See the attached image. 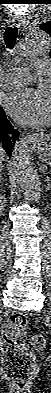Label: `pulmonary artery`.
<instances>
[{"label":"pulmonary artery","instance_id":"pulmonary-artery-1","mask_svg":"<svg viewBox=\"0 0 51 393\" xmlns=\"http://www.w3.org/2000/svg\"><path fill=\"white\" fill-rule=\"evenodd\" d=\"M35 68L38 74H47L51 70V63L49 60L35 61ZM30 81L28 73H10L1 79V86L3 88H18L26 85Z\"/></svg>","mask_w":51,"mask_h":393}]
</instances>
